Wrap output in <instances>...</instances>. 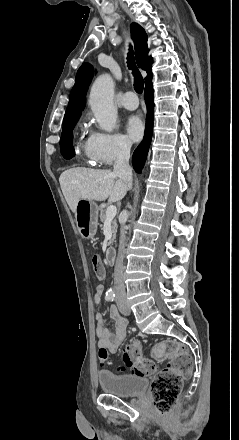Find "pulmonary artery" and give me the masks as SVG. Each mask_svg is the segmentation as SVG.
Wrapping results in <instances>:
<instances>
[{
    "mask_svg": "<svg viewBox=\"0 0 239 440\" xmlns=\"http://www.w3.org/2000/svg\"><path fill=\"white\" fill-rule=\"evenodd\" d=\"M135 96L134 92H126L125 94H123L120 98V105L123 106L125 109L128 110H134L138 107L139 103L138 102H132L130 100V97Z\"/></svg>",
    "mask_w": 239,
    "mask_h": 440,
    "instance_id": "e3ab8cb5",
    "label": "pulmonary artery"
}]
</instances>
